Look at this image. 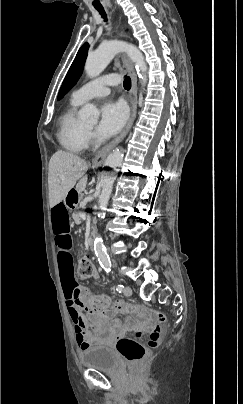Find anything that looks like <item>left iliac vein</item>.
<instances>
[{
  "label": "left iliac vein",
  "mask_w": 243,
  "mask_h": 404,
  "mask_svg": "<svg viewBox=\"0 0 243 404\" xmlns=\"http://www.w3.org/2000/svg\"><path fill=\"white\" fill-rule=\"evenodd\" d=\"M123 292H124V295H126V296L132 295V289L129 286H126Z\"/></svg>",
  "instance_id": "left-iliac-vein-1"
}]
</instances>
